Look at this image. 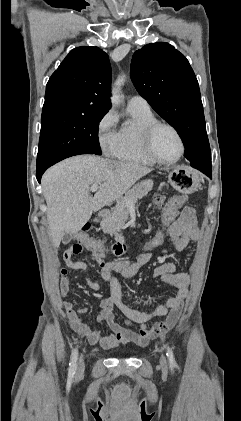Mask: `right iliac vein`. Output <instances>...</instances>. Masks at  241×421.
<instances>
[{"label": "right iliac vein", "mask_w": 241, "mask_h": 421, "mask_svg": "<svg viewBox=\"0 0 241 421\" xmlns=\"http://www.w3.org/2000/svg\"><path fill=\"white\" fill-rule=\"evenodd\" d=\"M84 359L83 356L81 355L80 359H79V364H78V373H82L84 371Z\"/></svg>", "instance_id": "1"}]
</instances>
